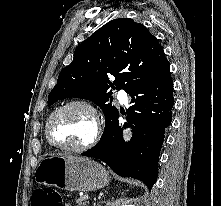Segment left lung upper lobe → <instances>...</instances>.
Wrapping results in <instances>:
<instances>
[{"label":"left lung upper lobe","mask_w":221,"mask_h":206,"mask_svg":"<svg viewBox=\"0 0 221 206\" xmlns=\"http://www.w3.org/2000/svg\"><path fill=\"white\" fill-rule=\"evenodd\" d=\"M168 68L161 45L144 25L129 18L115 19L74 51L73 61L60 72L48 104L69 97L91 100L105 115L103 137L118 113L111 104L112 91L124 89L130 93ZM111 75L115 77L113 83L109 80Z\"/></svg>","instance_id":"obj_1"}]
</instances>
